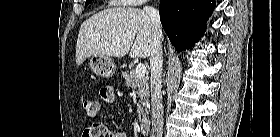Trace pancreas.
<instances>
[{"instance_id": "cf45deb5", "label": "pancreas", "mask_w": 280, "mask_h": 137, "mask_svg": "<svg viewBox=\"0 0 280 137\" xmlns=\"http://www.w3.org/2000/svg\"><path fill=\"white\" fill-rule=\"evenodd\" d=\"M121 76L125 79V85L128 88L135 87L137 89V95L140 99L137 106V113L139 121H144L150 109L148 77L137 78L133 69L122 72Z\"/></svg>"}]
</instances>
